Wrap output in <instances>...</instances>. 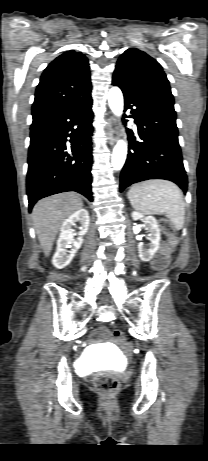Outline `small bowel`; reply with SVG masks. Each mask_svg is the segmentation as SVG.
Masks as SVG:
<instances>
[{
    "instance_id": "obj_1",
    "label": "small bowel",
    "mask_w": 208,
    "mask_h": 461,
    "mask_svg": "<svg viewBox=\"0 0 208 461\" xmlns=\"http://www.w3.org/2000/svg\"><path fill=\"white\" fill-rule=\"evenodd\" d=\"M107 336V329L102 327L100 328L95 334H94V338L97 339V340H103L105 339Z\"/></svg>"
}]
</instances>
